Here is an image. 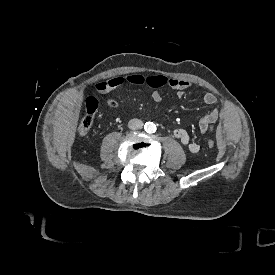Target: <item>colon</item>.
Returning a JSON list of instances; mask_svg holds the SVG:
<instances>
[{"instance_id":"5ec220e1","label":"colon","mask_w":275,"mask_h":275,"mask_svg":"<svg viewBox=\"0 0 275 275\" xmlns=\"http://www.w3.org/2000/svg\"><path fill=\"white\" fill-rule=\"evenodd\" d=\"M106 105L114 106V101H105ZM98 101L96 98H92V96L88 97L86 102L85 114L82 117L79 125L78 131L81 134L87 133L93 126L95 121V114L98 110ZM204 146L207 150L212 151L215 148V143L213 140L208 139L205 141Z\"/></svg>"}]
</instances>
